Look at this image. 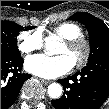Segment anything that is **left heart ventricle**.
I'll use <instances>...</instances> for the list:
<instances>
[{"label":"left heart ventricle","mask_w":109,"mask_h":109,"mask_svg":"<svg viewBox=\"0 0 109 109\" xmlns=\"http://www.w3.org/2000/svg\"><path fill=\"white\" fill-rule=\"evenodd\" d=\"M83 52H84V49L80 45L74 48H68L66 44L63 43L58 53L67 55L72 61V63L75 64L76 62L80 60V58L83 55Z\"/></svg>","instance_id":"obj_1"}]
</instances>
